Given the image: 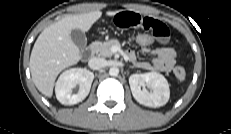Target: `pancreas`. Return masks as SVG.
Wrapping results in <instances>:
<instances>
[{"label": "pancreas", "instance_id": "cf45deb5", "mask_svg": "<svg viewBox=\"0 0 231 134\" xmlns=\"http://www.w3.org/2000/svg\"><path fill=\"white\" fill-rule=\"evenodd\" d=\"M114 46L118 48L121 47L119 41L116 39L109 40L107 42L97 41L92 44V50L94 53H96L97 55L101 57H111L113 54L111 49Z\"/></svg>", "mask_w": 231, "mask_h": 134}]
</instances>
